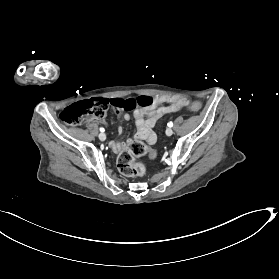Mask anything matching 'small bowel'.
<instances>
[{
  "label": "small bowel",
  "instance_id": "1",
  "mask_svg": "<svg viewBox=\"0 0 279 279\" xmlns=\"http://www.w3.org/2000/svg\"><path fill=\"white\" fill-rule=\"evenodd\" d=\"M188 100L185 98H176L169 96L155 97V105L151 108H139L134 111L133 116L136 121V134L138 140H144L148 144H154L156 141V134L153 131L157 121L167 114L179 111L188 106ZM123 119L129 120L130 114L124 113ZM122 127L118 128V133L121 134ZM131 140L126 142L115 140L110 143V147L114 152H120L125 149Z\"/></svg>",
  "mask_w": 279,
  "mask_h": 279
}]
</instances>
